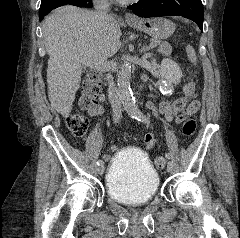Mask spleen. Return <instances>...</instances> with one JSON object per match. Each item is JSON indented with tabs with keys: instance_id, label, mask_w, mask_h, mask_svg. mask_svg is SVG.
Masks as SVG:
<instances>
[{
	"instance_id": "3e777b00",
	"label": "spleen",
	"mask_w": 240,
	"mask_h": 238,
	"mask_svg": "<svg viewBox=\"0 0 240 238\" xmlns=\"http://www.w3.org/2000/svg\"><path fill=\"white\" fill-rule=\"evenodd\" d=\"M186 52H187V56H188L189 61L191 63H193L194 65H196L197 56H196V52H195L194 48L191 45H187Z\"/></svg>"
}]
</instances>
